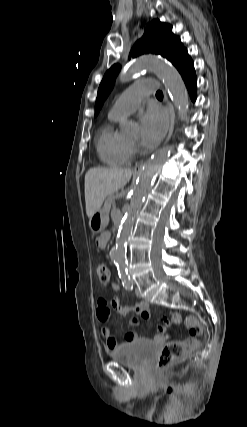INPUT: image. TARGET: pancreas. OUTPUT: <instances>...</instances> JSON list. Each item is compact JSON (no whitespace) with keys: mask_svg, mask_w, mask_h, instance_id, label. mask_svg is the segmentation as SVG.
<instances>
[{"mask_svg":"<svg viewBox=\"0 0 247 427\" xmlns=\"http://www.w3.org/2000/svg\"><path fill=\"white\" fill-rule=\"evenodd\" d=\"M112 205H114V199L112 196H108L105 200L103 210L109 212Z\"/></svg>","mask_w":247,"mask_h":427,"instance_id":"1","label":"pancreas"}]
</instances>
